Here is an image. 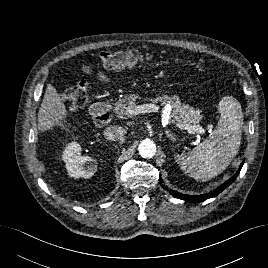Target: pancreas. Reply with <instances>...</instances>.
Instances as JSON below:
<instances>
[{
    "label": "pancreas",
    "mask_w": 268,
    "mask_h": 268,
    "mask_svg": "<svg viewBox=\"0 0 268 268\" xmlns=\"http://www.w3.org/2000/svg\"><path fill=\"white\" fill-rule=\"evenodd\" d=\"M138 97L134 94L127 96L123 99H119L114 104L115 113L120 116L131 117L132 115L127 113V108L135 104V100ZM154 103L160 102L162 106L171 107V121L173 123L181 124H197L201 121V110H195L188 104H182L178 96L163 95L155 98Z\"/></svg>",
    "instance_id": "obj_1"
}]
</instances>
